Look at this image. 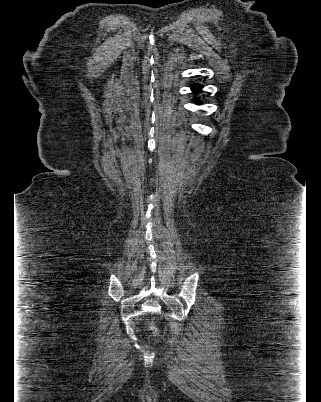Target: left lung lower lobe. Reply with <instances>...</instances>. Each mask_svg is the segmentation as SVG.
<instances>
[{
  "mask_svg": "<svg viewBox=\"0 0 321 402\" xmlns=\"http://www.w3.org/2000/svg\"><path fill=\"white\" fill-rule=\"evenodd\" d=\"M201 88H202V85H200V84H193V85H192V91H193L194 93L199 92V91L201 90ZM199 102H200V101H199Z\"/></svg>",
  "mask_w": 321,
  "mask_h": 402,
  "instance_id": "0a47b994",
  "label": "left lung lower lobe"
}]
</instances>
